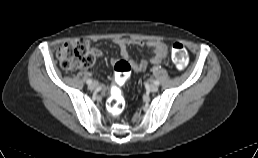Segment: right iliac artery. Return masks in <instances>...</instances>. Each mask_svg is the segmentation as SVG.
I'll return each mask as SVG.
<instances>
[{
    "label": "right iliac artery",
    "mask_w": 258,
    "mask_h": 158,
    "mask_svg": "<svg viewBox=\"0 0 258 158\" xmlns=\"http://www.w3.org/2000/svg\"><path fill=\"white\" fill-rule=\"evenodd\" d=\"M91 83H92V80L88 79V80H87V84L90 85Z\"/></svg>",
    "instance_id": "obj_1"
}]
</instances>
